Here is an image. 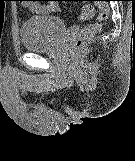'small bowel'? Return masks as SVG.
I'll return each mask as SVG.
<instances>
[{
  "label": "small bowel",
  "instance_id": "1",
  "mask_svg": "<svg viewBox=\"0 0 135 161\" xmlns=\"http://www.w3.org/2000/svg\"><path fill=\"white\" fill-rule=\"evenodd\" d=\"M25 7H27L30 11L36 13L47 14L55 11L57 6L55 4H38L34 1H23Z\"/></svg>",
  "mask_w": 135,
  "mask_h": 161
}]
</instances>
